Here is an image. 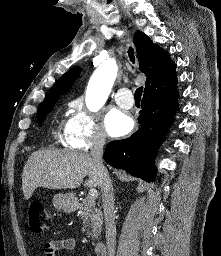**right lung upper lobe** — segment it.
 <instances>
[{
    "label": "right lung upper lobe",
    "mask_w": 221,
    "mask_h": 256,
    "mask_svg": "<svg viewBox=\"0 0 221 256\" xmlns=\"http://www.w3.org/2000/svg\"><path fill=\"white\" fill-rule=\"evenodd\" d=\"M134 44L137 49L139 69L147 76L144 95L161 93L176 87V65L158 45L141 31L134 35ZM81 68L75 67L61 76L52 87L45 99L64 94L80 76ZM44 99V100H45Z\"/></svg>",
    "instance_id": "right-lung-upper-lobe-1"
}]
</instances>
